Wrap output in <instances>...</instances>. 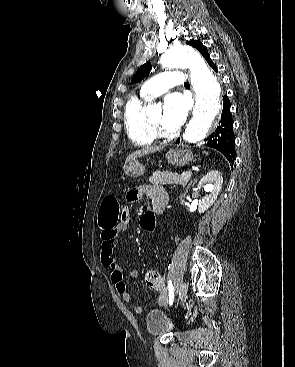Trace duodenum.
<instances>
[{
	"instance_id": "410a0bca",
	"label": "duodenum",
	"mask_w": 295,
	"mask_h": 367,
	"mask_svg": "<svg viewBox=\"0 0 295 367\" xmlns=\"http://www.w3.org/2000/svg\"><path fill=\"white\" fill-rule=\"evenodd\" d=\"M165 205L166 203L163 202V201H155L153 204H152V207H153V212L155 214H160L164 208H165Z\"/></svg>"
}]
</instances>
